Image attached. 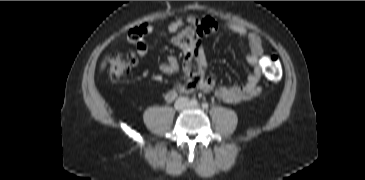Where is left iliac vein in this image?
<instances>
[{
  "instance_id": "1",
  "label": "left iliac vein",
  "mask_w": 365,
  "mask_h": 180,
  "mask_svg": "<svg viewBox=\"0 0 365 180\" xmlns=\"http://www.w3.org/2000/svg\"><path fill=\"white\" fill-rule=\"evenodd\" d=\"M188 107L189 108H194V109H200V106L199 105H196V106L189 105Z\"/></svg>"
}]
</instances>
